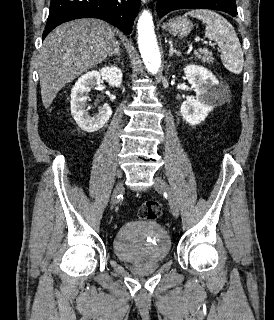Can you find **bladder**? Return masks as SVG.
Wrapping results in <instances>:
<instances>
[{"mask_svg": "<svg viewBox=\"0 0 274 320\" xmlns=\"http://www.w3.org/2000/svg\"><path fill=\"white\" fill-rule=\"evenodd\" d=\"M112 246L120 261L141 265L165 260L171 250V240L166 230L155 222L129 221L119 227Z\"/></svg>", "mask_w": 274, "mask_h": 320, "instance_id": "obj_1", "label": "bladder"}]
</instances>
